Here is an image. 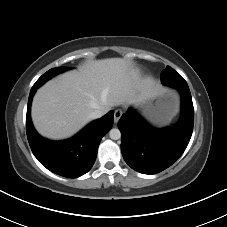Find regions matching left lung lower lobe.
<instances>
[{"mask_svg":"<svg viewBox=\"0 0 227 227\" xmlns=\"http://www.w3.org/2000/svg\"><path fill=\"white\" fill-rule=\"evenodd\" d=\"M180 92L182 115L177 125L156 129L135 110L119 120L121 151L126 163L143 174H156L171 166L185 151L193 131L194 108L188 85L172 86Z\"/></svg>","mask_w":227,"mask_h":227,"instance_id":"1","label":"left lung lower lobe"}]
</instances>
